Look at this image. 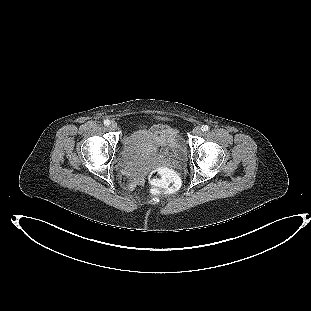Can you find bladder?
Instances as JSON below:
<instances>
[{"mask_svg": "<svg viewBox=\"0 0 311 311\" xmlns=\"http://www.w3.org/2000/svg\"><path fill=\"white\" fill-rule=\"evenodd\" d=\"M150 134L145 130H137L125 137V151L134 153L138 146L149 138ZM178 155L184 156L182 146H178Z\"/></svg>", "mask_w": 311, "mask_h": 311, "instance_id": "bladder-1", "label": "bladder"}]
</instances>
